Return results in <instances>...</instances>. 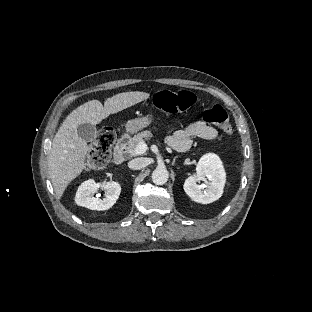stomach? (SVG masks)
<instances>
[{
	"label": "stomach",
	"instance_id": "stomach-1",
	"mask_svg": "<svg viewBox=\"0 0 312 312\" xmlns=\"http://www.w3.org/2000/svg\"><path fill=\"white\" fill-rule=\"evenodd\" d=\"M151 123V119L148 117H141L129 120L125 127L126 131L130 134L136 133L137 131L147 127Z\"/></svg>",
	"mask_w": 312,
	"mask_h": 312
}]
</instances>
